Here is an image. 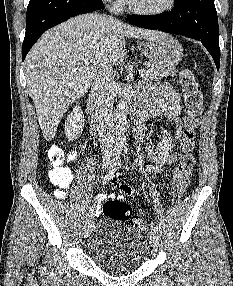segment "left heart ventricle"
<instances>
[{"instance_id":"obj_1","label":"left heart ventricle","mask_w":233,"mask_h":286,"mask_svg":"<svg viewBox=\"0 0 233 286\" xmlns=\"http://www.w3.org/2000/svg\"><path fill=\"white\" fill-rule=\"evenodd\" d=\"M136 6L144 9H159L166 5L167 0H131Z\"/></svg>"}]
</instances>
